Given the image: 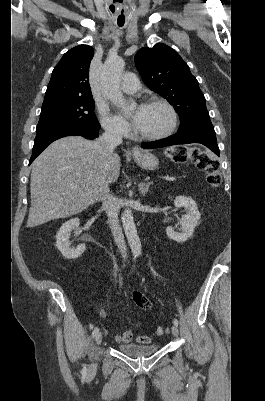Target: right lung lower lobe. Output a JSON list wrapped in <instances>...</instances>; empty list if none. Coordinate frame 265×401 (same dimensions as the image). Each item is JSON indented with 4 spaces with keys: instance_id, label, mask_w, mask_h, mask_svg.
Instances as JSON below:
<instances>
[{
    "instance_id": "1",
    "label": "right lung lower lobe",
    "mask_w": 265,
    "mask_h": 401,
    "mask_svg": "<svg viewBox=\"0 0 265 401\" xmlns=\"http://www.w3.org/2000/svg\"><path fill=\"white\" fill-rule=\"evenodd\" d=\"M99 129L80 126H53L36 132L33 153L29 165L53 141L71 135H79L86 139H95L99 136Z\"/></svg>"
}]
</instances>
